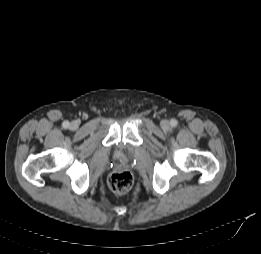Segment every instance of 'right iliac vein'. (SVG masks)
Here are the masks:
<instances>
[{
    "instance_id": "obj_1",
    "label": "right iliac vein",
    "mask_w": 261,
    "mask_h": 254,
    "mask_svg": "<svg viewBox=\"0 0 261 254\" xmlns=\"http://www.w3.org/2000/svg\"><path fill=\"white\" fill-rule=\"evenodd\" d=\"M78 122H76V121H72L71 123H70V128L72 129V130H76L77 128H78Z\"/></svg>"
}]
</instances>
